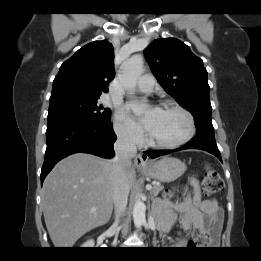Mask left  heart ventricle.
Wrapping results in <instances>:
<instances>
[{
	"label": "left heart ventricle",
	"instance_id": "b2bd125f",
	"mask_svg": "<svg viewBox=\"0 0 261 261\" xmlns=\"http://www.w3.org/2000/svg\"><path fill=\"white\" fill-rule=\"evenodd\" d=\"M187 130V123L183 115L172 110H160L149 136L160 142H171L182 137Z\"/></svg>",
	"mask_w": 261,
	"mask_h": 261
}]
</instances>
